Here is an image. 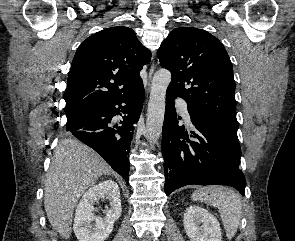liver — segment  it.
Here are the masks:
<instances>
[{
    "label": "liver",
    "mask_w": 295,
    "mask_h": 241,
    "mask_svg": "<svg viewBox=\"0 0 295 241\" xmlns=\"http://www.w3.org/2000/svg\"><path fill=\"white\" fill-rule=\"evenodd\" d=\"M110 166L88 146L78 140H62L55 149L45 179L44 207L52 227L68 239L74 208L79 198Z\"/></svg>",
    "instance_id": "obj_1"
}]
</instances>
